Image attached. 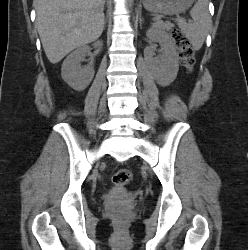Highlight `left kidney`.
I'll return each mask as SVG.
<instances>
[{
  "label": "left kidney",
  "mask_w": 248,
  "mask_h": 250,
  "mask_svg": "<svg viewBox=\"0 0 248 250\" xmlns=\"http://www.w3.org/2000/svg\"><path fill=\"white\" fill-rule=\"evenodd\" d=\"M146 36L153 42H158L163 50L161 63L155 61L153 66V76L156 82L162 86H167L174 81L179 70V56L170 36L163 29L152 26L146 32Z\"/></svg>",
  "instance_id": "5707ae66"
}]
</instances>
